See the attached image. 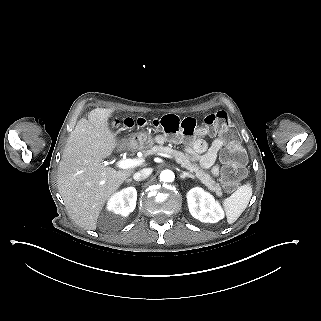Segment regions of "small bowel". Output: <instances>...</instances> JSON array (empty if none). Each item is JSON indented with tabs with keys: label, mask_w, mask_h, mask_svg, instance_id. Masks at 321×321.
<instances>
[{
	"label": "small bowel",
	"mask_w": 321,
	"mask_h": 321,
	"mask_svg": "<svg viewBox=\"0 0 321 321\" xmlns=\"http://www.w3.org/2000/svg\"><path fill=\"white\" fill-rule=\"evenodd\" d=\"M224 141L221 138L215 139L210 146L202 140L193 141L186 149L187 153L198 160L203 168H211L213 173L218 174V166L215 165L218 152L222 149Z\"/></svg>",
	"instance_id": "obj_1"
}]
</instances>
